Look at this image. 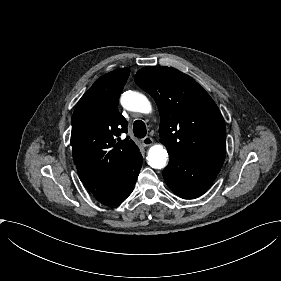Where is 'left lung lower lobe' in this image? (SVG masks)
<instances>
[{
  "label": "left lung lower lobe",
  "instance_id": "obj_1",
  "mask_svg": "<svg viewBox=\"0 0 281 281\" xmlns=\"http://www.w3.org/2000/svg\"><path fill=\"white\" fill-rule=\"evenodd\" d=\"M223 162L189 160L169 153V164L163 170L168 187L184 199L201 196L211 186Z\"/></svg>",
  "mask_w": 281,
  "mask_h": 281
}]
</instances>
